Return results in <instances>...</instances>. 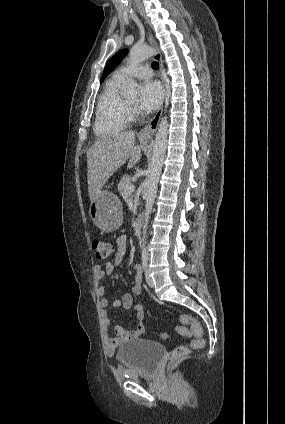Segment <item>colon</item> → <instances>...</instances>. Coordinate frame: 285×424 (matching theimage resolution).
Wrapping results in <instances>:
<instances>
[{
    "mask_svg": "<svg viewBox=\"0 0 285 424\" xmlns=\"http://www.w3.org/2000/svg\"><path fill=\"white\" fill-rule=\"evenodd\" d=\"M92 247L94 250V253L96 257L100 260H104L107 257H109L113 252V247L110 243L101 240V239H95L93 240ZM181 321L185 324H189L191 328V332L194 335V339L191 341L190 346H179L177 347L173 354V359H180L185 356H187L192 349H200L204 346V339H203V329L200 325V323L195 320L194 318L183 315L181 316ZM175 333L178 335L187 337L189 336L190 332L184 328V327H177L175 329ZM162 337H166V333H161Z\"/></svg>",
    "mask_w": 285,
    "mask_h": 424,
    "instance_id": "1",
    "label": "colon"
}]
</instances>
